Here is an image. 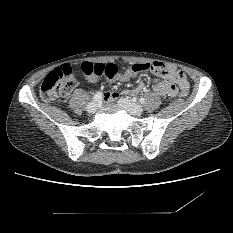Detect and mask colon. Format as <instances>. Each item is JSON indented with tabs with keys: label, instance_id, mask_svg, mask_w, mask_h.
<instances>
[{
	"label": "colon",
	"instance_id": "5ec220e1",
	"mask_svg": "<svg viewBox=\"0 0 233 233\" xmlns=\"http://www.w3.org/2000/svg\"><path fill=\"white\" fill-rule=\"evenodd\" d=\"M90 79L99 77L114 78L118 74V69L114 64H94L83 62L76 67ZM158 72L156 63H135L130 68L123 71L122 75L129 79L139 72ZM75 85L74 70L70 66H63L51 71L40 85V97L44 101H52L57 98L67 97ZM188 94V87L180 90V96Z\"/></svg>",
	"mask_w": 233,
	"mask_h": 233
}]
</instances>
